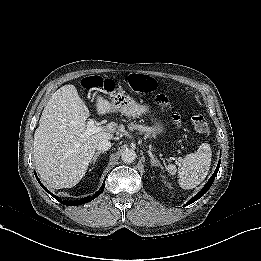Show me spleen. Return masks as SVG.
<instances>
[{"mask_svg": "<svg viewBox=\"0 0 261 261\" xmlns=\"http://www.w3.org/2000/svg\"><path fill=\"white\" fill-rule=\"evenodd\" d=\"M211 149L206 143L199 146L194 153L187 154L178 169L179 184L183 189H193L207 176L211 165ZM171 175L177 172L174 164L166 167Z\"/></svg>", "mask_w": 261, "mask_h": 261, "instance_id": "3e777b00", "label": "spleen"}]
</instances>
